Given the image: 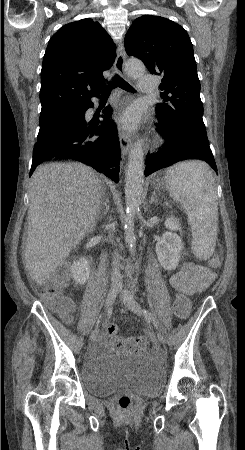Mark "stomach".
<instances>
[{
    "mask_svg": "<svg viewBox=\"0 0 245 450\" xmlns=\"http://www.w3.org/2000/svg\"><path fill=\"white\" fill-rule=\"evenodd\" d=\"M154 184H155L158 188H166V189H167L166 182L160 181L159 179H156V180L154 181Z\"/></svg>",
    "mask_w": 245,
    "mask_h": 450,
    "instance_id": "obj_1",
    "label": "stomach"
}]
</instances>
